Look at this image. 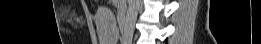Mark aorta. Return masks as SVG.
Segmentation results:
<instances>
[{"label": "aorta", "instance_id": "obj_1", "mask_svg": "<svg viewBox=\"0 0 261 44\" xmlns=\"http://www.w3.org/2000/svg\"><path fill=\"white\" fill-rule=\"evenodd\" d=\"M139 8L140 0H128V9L123 33V42L125 44H130L132 42Z\"/></svg>", "mask_w": 261, "mask_h": 44}]
</instances>
